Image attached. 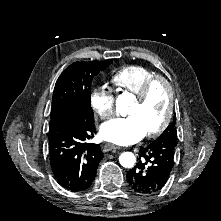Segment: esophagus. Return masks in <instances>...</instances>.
I'll return each mask as SVG.
<instances>
[{"instance_id":"obj_1","label":"esophagus","mask_w":221,"mask_h":221,"mask_svg":"<svg viewBox=\"0 0 221 221\" xmlns=\"http://www.w3.org/2000/svg\"><path fill=\"white\" fill-rule=\"evenodd\" d=\"M101 148L103 149V151H110L113 149H120V147L112 144V143H105L101 146Z\"/></svg>"}]
</instances>
